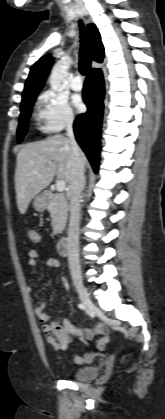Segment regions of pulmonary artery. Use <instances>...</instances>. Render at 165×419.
Returning a JSON list of instances; mask_svg holds the SVG:
<instances>
[{"label":"pulmonary artery","mask_w":165,"mask_h":419,"mask_svg":"<svg viewBox=\"0 0 165 419\" xmlns=\"http://www.w3.org/2000/svg\"><path fill=\"white\" fill-rule=\"evenodd\" d=\"M83 87V82L82 79L79 75H76L73 77V79L71 80V88L75 91H79L81 90Z\"/></svg>","instance_id":"pulmonary-artery-1"}]
</instances>
